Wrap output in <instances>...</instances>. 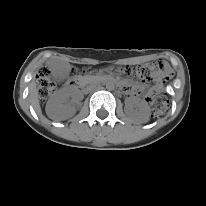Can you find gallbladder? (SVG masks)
I'll use <instances>...</instances> for the list:
<instances>
[{
	"mask_svg": "<svg viewBox=\"0 0 206 206\" xmlns=\"http://www.w3.org/2000/svg\"><path fill=\"white\" fill-rule=\"evenodd\" d=\"M47 66L52 73V77L58 81L67 78L71 71L69 63L58 59L48 61Z\"/></svg>",
	"mask_w": 206,
	"mask_h": 206,
	"instance_id": "obj_1",
	"label": "gallbladder"
}]
</instances>
